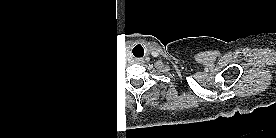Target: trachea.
Wrapping results in <instances>:
<instances>
[{"label": "trachea", "mask_w": 276, "mask_h": 138, "mask_svg": "<svg viewBox=\"0 0 276 138\" xmlns=\"http://www.w3.org/2000/svg\"><path fill=\"white\" fill-rule=\"evenodd\" d=\"M135 51V49H133V52ZM136 57H138V56H136ZM139 57H142V56H139Z\"/></svg>", "instance_id": "3493384b"}]
</instances>
